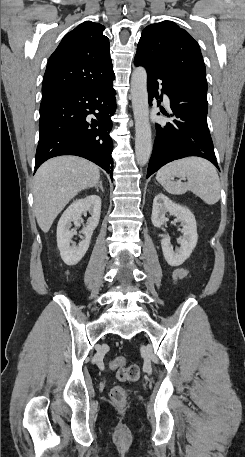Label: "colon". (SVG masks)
<instances>
[{
	"instance_id": "colon-1",
	"label": "colon",
	"mask_w": 245,
	"mask_h": 457,
	"mask_svg": "<svg viewBox=\"0 0 245 457\" xmlns=\"http://www.w3.org/2000/svg\"><path fill=\"white\" fill-rule=\"evenodd\" d=\"M126 358L116 357L111 362V367L115 369L116 377L119 381H135L140 376V368L136 364L126 366ZM110 398L117 406H124L127 401V390L122 386H115L110 391Z\"/></svg>"
}]
</instances>
